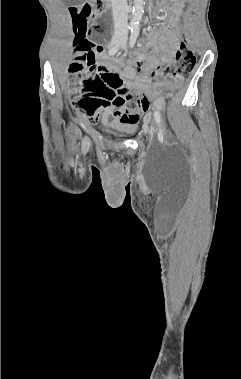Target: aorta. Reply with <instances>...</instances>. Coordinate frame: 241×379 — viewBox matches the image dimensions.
Masks as SVG:
<instances>
[{
  "label": "aorta",
  "mask_w": 241,
  "mask_h": 379,
  "mask_svg": "<svg viewBox=\"0 0 241 379\" xmlns=\"http://www.w3.org/2000/svg\"><path fill=\"white\" fill-rule=\"evenodd\" d=\"M143 12H144L143 0H134L133 18H132V22H131V29L133 32L138 31L139 23L141 21Z\"/></svg>",
  "instance_id": "1"
}]
</instances>
